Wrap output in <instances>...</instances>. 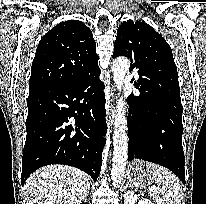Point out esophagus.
<instances>
[{"instance_id":"obj_1","label":"esophagus","mask_w":206,"mask_h":204,"mask_svg":"<svg viewBox=\"0 0 206 204\" xmlns=\"http://www.w3.org/2000/svg\"><path fill=\"white\" fill-rule=\"evenodd\" d=\"M114 101H115V95L114 93H111V100H110L109 112H108V122L110 125H112L115 116Z\"/></svg>"}]
</instances>
